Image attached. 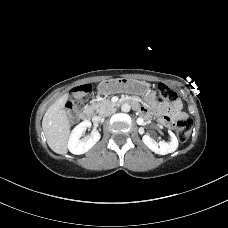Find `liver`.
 <instances>
[{"mask_svg":"<svg viewBox=\"0 0 228 228\" xmlns=\"http://www.w3.org/2000/svg\"><path fill=\"white\" fill-rule=\"evenodd\" d=\"M64 94L53 103L45 112L42 120V128L49 147L57 154L67 153V143L70 133V122L64 105L68 99Z\"/></svg>","mask_w":228,"mask_h":228,"instance_id":"obj_1","label":"liver"}]
</instances>
